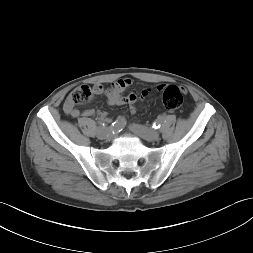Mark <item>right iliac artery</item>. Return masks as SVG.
<instances>
[{"instance_id":"82829eb1","label":"right iliac artery","mask_w":253,"mask_h":253,"mask_svg":"<svg viewBox=\"0 0 253 253\" xmlns=\"http://www.w3.org/2000/svg\"><path fill=\"white\" fill-rule=\"evenodd\" d=\"M99 126H105L106 123L104 121H98ZM126 125V120L124 117H118V119L112 123V128L115 131H121Z\"/></svg>"}]
</instances>
